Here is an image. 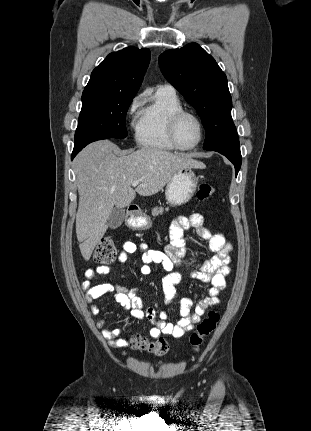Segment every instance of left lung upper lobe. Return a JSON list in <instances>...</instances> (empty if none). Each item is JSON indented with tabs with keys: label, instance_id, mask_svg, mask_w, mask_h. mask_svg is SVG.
Here are the masks:
<instances>
[{
	"label": "left lung upper lobe",
	"instance_id": "obj_1",
	"mask_svg": "<svg viewBox=\"0 0 311 431\" xmlns=\"http://www.w3.org/2000/svg\"><path fill=\"white\" fill-rule=\"evenodd\" d=\"M159 66L165 78L197 110L206 130L203 148L239 146L227 78L213 57L191 43L162 53Z\"/></svg>",
	"mask_w": 311,
	"mask_h": 431
}]
</instances>
